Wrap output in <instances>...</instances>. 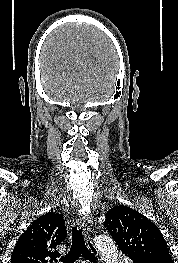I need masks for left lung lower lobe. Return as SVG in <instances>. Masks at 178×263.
Wrapping results in <instances>:
<instances>
[{"mask_svg": "<svg viewBox=\"0 0 178 263\" xmlns=\"http://www.w3.org/2000/svg\"><path fill=\"white\" fill-rule=\"evenodd\" d=\"M139 263H165L163 261H158V260H148V261H141Z\"/></svg>", "mask_w": 178, "mask_h": 263, "instance_id": "left-lung-lower-lobe-1", "label": "left lung lower lobe"}]
</instances>
